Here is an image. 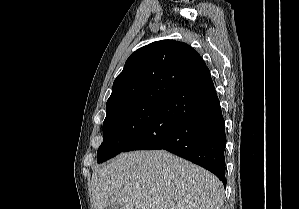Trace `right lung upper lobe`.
<instances>
[{
    "mask_svg": "<svg viewBox=\"0 0 299 209\" xmlns=\"http://www.w3.org/2000/svg\"><path fill=\"white\" fill-rule=\"evenodd\" d=\"M207 71L201 56L186 43L153 42L127 59L113 83L106 110L143 101L164 102L188 80Z\"/></svg>",
    "mask_w": 299,
    "mask_h": 209,
    "instance_id": "cb5924a9",
    "label": "right lung upper lobe"
}]
</instances>
